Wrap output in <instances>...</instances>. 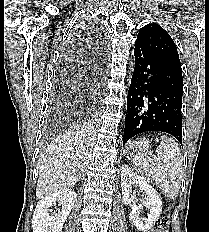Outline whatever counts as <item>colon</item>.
Wrapping results in <instances>:
<instances>
[{"instance_id": "obj_1", "label": "colon", "mask_w": 209, "mask_h": 232, "mask_svg": "<svg viewBox=\"0 0 209 232\" xmlns=\"http://www.w3.org/2000/svg\"><path fill=\"white\" fill-rule=\"evenodd\" d=\"M169 217L166 215L161 216L156 223L155 232H166V228L169 225Z\"/></svg>"}]
</instances>
